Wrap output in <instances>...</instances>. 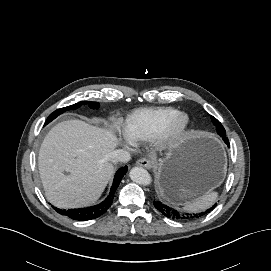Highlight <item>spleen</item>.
<instances>
[{
  "mask_svg": "<svg viewBox=\"0 0 271 271\" xmlns=\"http://www.w3.org/2000/svg\"><path fill=\"white\" fill-rule=\"evenodd\" d=\"M218 193L217 192H208L207 194L203 195L202 197L188 202L184 206V210L189 212H199L209 208L217 199Z\"/></svg>",
  "mask_w": 271,
  "mask_h": 271,
  "instance_id": "spleen-1",
  "label": "spleen"
}]
</instances>
